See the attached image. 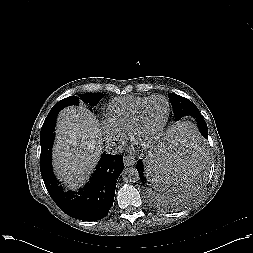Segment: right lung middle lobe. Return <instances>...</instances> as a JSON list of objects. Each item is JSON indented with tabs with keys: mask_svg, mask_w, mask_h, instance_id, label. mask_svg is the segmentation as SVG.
Segmentation results:
<instances>
[{
	"mask_svg": "<svg viewBox=\"0 0 253 253\" xmlns=\"http://www.w3.org/2000/svg\"><path fill=\"white\" fill-rule=\"evenodd\" d=\"M105 94H94V93H87L82 94L80 97L77 96H69L65 99H62L59 101L56 105L53 106L50 113H53L55 111H60L62 108L70 105H79L80 101H83L86 104H89L90 106H95L103 97ZM48 121H45L41 133H40V144H41V157H47L51 155L53 140L55 137V127L50 126L47 124Z\"/></svg>",
	"mask_w": 253,
	"mask_h": 253,
	"instance_id": "dd1d6c3e",
	"label": "right lung middle lobe"
}]
</instances>
